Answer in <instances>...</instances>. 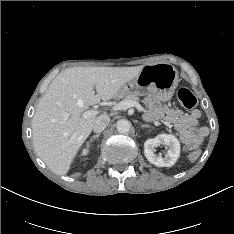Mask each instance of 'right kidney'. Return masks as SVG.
I'll use <instances>...</instances> for the list:
<instances>
[{
  "label": "right kidney",
  "mask_w": 234,
  "mask_h": 234,
  "mask_svg": "<svg viewBox=\"0 0 234 234\" xmlns=\"http://www.w3.org/2000/svg\"><path fill=\"white\" fill-rule=\"evenodd\" d=\"M88 152H89V149H88V148H85V149H83V151H82V155H83V156H84V155H87Z\"/></svg>",
  "instance_id": "1"
}]
</instances>
